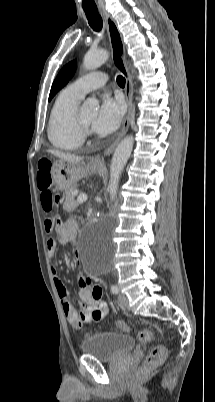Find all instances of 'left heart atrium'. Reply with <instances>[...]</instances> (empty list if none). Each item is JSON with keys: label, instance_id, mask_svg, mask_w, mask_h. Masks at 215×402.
Returning <instances> with one entry per match:
<instances>
[{"label": "left heart atrium", "instance_id": "left-heart-atrium-1", "mask_svg": "<svg viewBox=\"0 0 215 402\" xmlns=\"http://www.w3.org/2000/svg\"><path fill=\"white\" fill-rule=\"evenodd\" d=\"M123 112L124 106L120 100L104 95L92 122V129L100 134L112 133L119 127Z\"/></svg>", "mask_w": 215, "mask_h": 402}]
</instances>
